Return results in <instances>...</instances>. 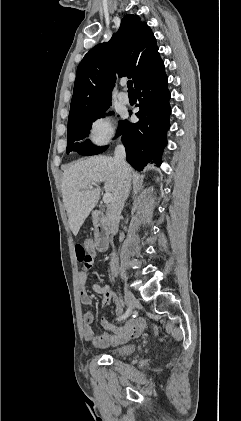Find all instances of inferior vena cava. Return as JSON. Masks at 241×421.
I'll return each mask as SVG.
<instances>
[{
  "mask_svg": "<svg viewBox=\"0 0 241 421\" xmlns=\"http://www.w3.org/2000/svg\"><path fill=\"white\" fill-rule=\"evenodd\" d=\"M126 152L122 144L117 145L114 151V162L118 172V183L115 193L106 211V225L113 236L118 232L121 211L129 195L131 175L128 164L125 161ZM119 268L118 257L115 252L111 254L110 270L117 275Z\"/></svg>",
  "mask_w": 241,
  "mask_h": 421,
  "instance_id": "602c4592",
  "label": "inferior vena cava"
}]
</instances>
